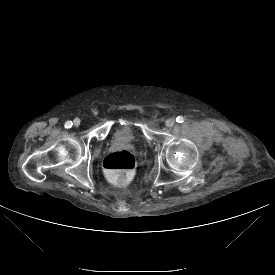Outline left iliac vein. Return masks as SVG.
I'll list each match as a JSON object with an SVG mask.
<instances>
[{"label": "left iliac vein", "instance_id": "1", "mask_svg": "<svg viewBox=\"0 0 275 275\" xmlns=\"http://www.w3.org/2000/svg\"><path fill=\"white\" fill-rule=\"evenodd\" d=\"M174 124H175V119H174V118H169V119L166 121V126H167V127H172Z\"/></svg>", "mask_w": 275, "mask_h": 275}]
</instances>
